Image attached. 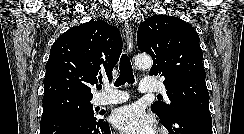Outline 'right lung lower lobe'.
Segmentation results:
<instances>
[{"mask_svg":"<svg viewBox=\"0 0 244 134\" xmlns=\"http://www.w3.org/2000/svg\"><path fill=\"white\" fill-rule=\"evenodd\" d=\"M40 134H111V132L103 119L67 116L50 120L40 128Z\"/></svg>","mask_w":244,"mask_h":134,"instance_id":"obj_1","label":"right lung lower lobe"}]
</instances>
